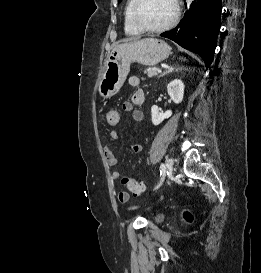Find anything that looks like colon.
Here are the masks:
<instances>
[{"label": "colon", "instance_id": "colon-1", "mask_svg": "<svg viewBox=\"0 0 261 273\" xmlns=\"http://www.w3.org/2000/svg\"><path fill=\"white\" fill-rule=\"evenodd\" d=\"M104 120L109 126H116L119 123L118 111L114 109L107 110L104 114ZM122 184L134 196H140L145 191V186L131 177H124ZM185 219L191 220L192 216L189 213H185Z\"/></svg>", "mask_w": 261, "mask_h": 273}]
</instances>
